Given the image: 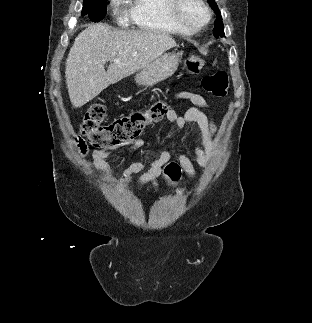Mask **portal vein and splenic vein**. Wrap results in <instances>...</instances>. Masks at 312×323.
<instances>
[{
    "mask_svg": "<svg viewBox=\"0 0 312 323\" xmlns=\"http://www.w3.org/2000/svg\"><path fill=\"white\" fill-rule=\"evenodd\" d=\"M113 62H115V64H119L120 60H113Z\"/></svg>",
    "mask_w": 312,
    "mask_h": 323,
    "instance_id": "1",
    "label": "portal vein and splenic vein"
}]
</instances>
